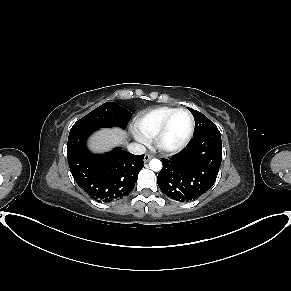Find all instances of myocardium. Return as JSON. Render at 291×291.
Returning <instances> with one entry per match:
<instances>
[{"label":"myocardium","mask_w":291,"mask_h":291,"mask_svg":"<svg viewBox=\"0 0 291 291\" xmlns=\"http://www.w3.org/2000/svg\"><path fill=\"white\" fill-rule=\"evenodd\" d=\"M179 112H186L189 115L190 127L186 136L181 142H179L176 145L169 146L165 144L164 139H165V136H166V133H167V130L169 128L172 118ZM194 129H195V118L192 112L187 108H176L166 117L158 133L156 134L154 138L155 145L161 152L168 153V154L177 153L183 150L188 145V143L192 139Z\"/></svg>","instance_id":"f54148a6"}]
</instances>
